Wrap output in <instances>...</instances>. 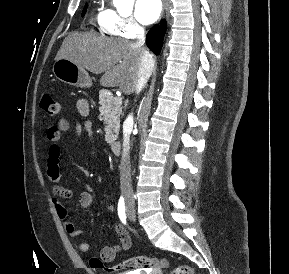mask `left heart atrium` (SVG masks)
Wrapping results in <instances>:
<instances>
[{
	"label": "left heart atrium",
	"instance_id": "obj_1",
	"mask_svg": "<svg viewBox=\"0 0 289 274\" xmlns=\"http://www.w3.org/2000/svg\"><path fill=\"white\" fill-rule=\"evenodd\" d=\"M162 11L161 0H137L135 4V15L142 24L155 22Z\"/></svg>",
	"mask_w": 289,
	"mask_h": 274
}]
</instances>
